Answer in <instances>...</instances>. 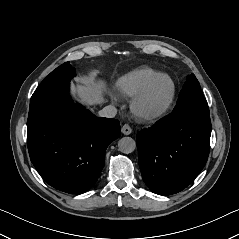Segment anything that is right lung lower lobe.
Segmentation results:
<instances>
[{
	"label": "right lung lower lobe",
	"mask_w": 239,
	"mask_h": 239,
	"mask_svg": "<svg viewBox=\"0 0 239 239\" xmlns=\"http://www.w3.org/2000/svg\"><path fill=\"white\" fill-rule=\"evenodd\" d=\"M68 91L66 83L30 102L27 145L41 177L50 186L75 194L97 181L108 145L120 136V123L74 104Z\"/></svg>",
	"instance_id": "obj_1"
}]
</instances>
